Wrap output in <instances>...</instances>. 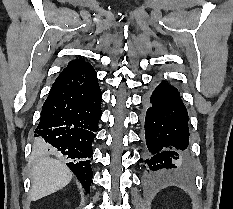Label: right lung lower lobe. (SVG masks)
<instances>
[{"label":"right lung lower lobe","mask_w":233,"mask_h":209,"mask_svg":"<svg viewBox=\"0 0 233 209\" xmlns=\"http://www.w3.org/2000/svg\"><path fill=\"white\" fill-rule=\"evenodd\" d=\"M102 93L89 64L54 82L43 104L35 136L57 148L66 165L90 192L92 142L101 117Z\"/></svg>","instance_id":"1"}]
</instances>
